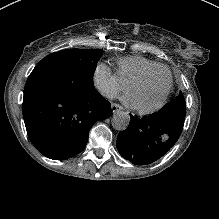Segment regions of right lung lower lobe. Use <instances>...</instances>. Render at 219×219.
<instances>
[{"mask_svg":"<svg viewBox=\"0 0 219 219\" xmlns=\"http://www.w3.org/2000/svg\"><path fill=\"white\" fill-rule=\"evenodd\" d=\"M112 113L78 67L53 63L32 71L24 89L23 116L28 136L46 157L67 159L86 146L92 125Z\"/></svg>","mask_w":219,"mask_h":219,"instance_id":"right-lung-lower-lobe-1","label":"right lung lower lobe"}]
</instances>
